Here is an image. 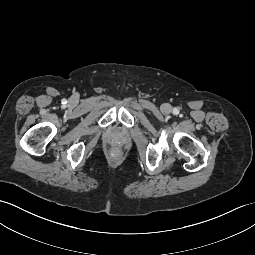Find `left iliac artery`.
I'll list each match as a JSON object with an SVG mask.
<instances>
[{
  "label": "left iliac artery",
  "instance_id": "44dca946",
  "mask_svg": "<svg viewBox=\"0 0 255 255\" xmlns=\"http://www.w3.org/2000/svg\"><path fill=\"white\" fill-rule=\"evenodd\" d=\"M178 112H179V111H178L177 108H174V109H173V113H174V114H178Z\"/></svg>",
  "mask_w": 255,
  "mask_h": 255
}]
</instances>
